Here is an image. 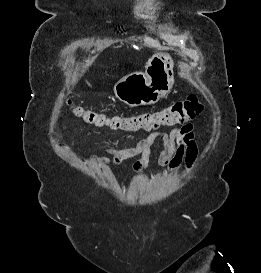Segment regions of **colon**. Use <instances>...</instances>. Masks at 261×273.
I'll list each match as a JSON object with an SVG mask.
<instances>
[{
    "label": "colon",
    "instance_id": "5ec220e1",
    "mask_svg": "<svg viewBox=\"0 0 261 273\" xmlns=\"http://www.w3.org/2000/svg\"><path fill=\"white\" fill-rule=\"evenodd\" d=\"M202 110V103L194 95L162 110L133 116H107L80 106L73 107V112L87 123L125 131L152 130L182 124L197 117Z\"/></svg>",
    "mask_w": 261,
    "mask_h": 273
}]
</instances>
